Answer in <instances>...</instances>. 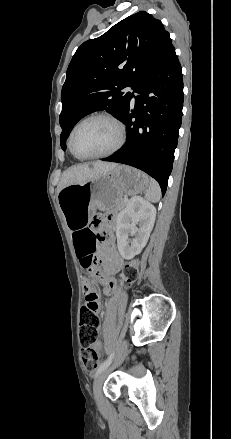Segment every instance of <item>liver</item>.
Returning a JSON list of instances; mask_svg holds the SVG:
<instances>
[{
    "mask_svg": "<svg viewBox=\"0 0 231 439\" xmlns=\"http://www.w3.org/2000/svg\"><path fill=\"white\" fill-rule=\"evenodd\" d=\"M117 166L116 163L94 162L92 164H78L69 167L62 175L58 184V193L65 187L91 180Z\"/></svg>",
    "mask_w": 231,
    "mask_h": 439,
    "instance_id": "liver-1",
    "label": "liver"
}]
</instances>
